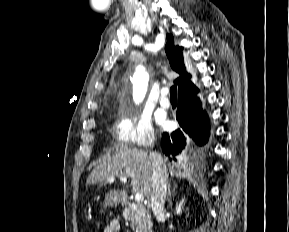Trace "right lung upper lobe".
<instances>
[{
    "label": "right lung upper lobe",
    "instance_id": "obj_1",
    "mask_svg": "<svg viewBox=\"0 0 289 232\" xmlns=\"http://www.w3.org/2000/svg\"><path fill=\"white\" fill-rule=\"evenodd\" d=\"M167 39V44L165 46L167 57L169 58L172 69L180 74V77L175 80V84L178 85V93L182 95L196 90L197 88L190 81L191 75L187 73L184 65L182 47H173L174 40L171 35H167Z\"/></svg>",
    "mask_w": 289,
    "mask_h": 232
}]
</instances>
